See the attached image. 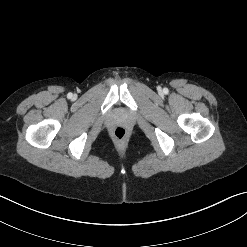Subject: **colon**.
Here are the masks:
<instances>
[{
	"mask_svg": "<svg viewBox=\"0 0 247 247\" xmlns=\"http://www.w3.org/2000/svg\"><path fill=\"white\" fill-rule=\"evenodd\" d=\"M114 135L117 139L122 140L126 136V128L122 125L114 129Z\"/></svg>",
	"mask_w": 247,
	"mask_h": 247,
	"instance_id": "5ec220e1",
	"label": "colon"
}]
</instances>
